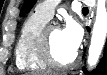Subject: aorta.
Returning <instances> with one entry per match:
<instances>
[{"mask_svg":"<svg viewBox=\"0 0 107 75\" xmlns=\"http://www.w3.org/2000/svg\"><path fill=\"white\" fill-rule=\"evenodd\" d=\"M107 37L106 0H97L96 19L93 25L87 63L94 67L101 55Z\"/></svg>","mask_w":107,"mask_h":75,"instance_id":"aorta-1","label":"aorta"}]
</instances>
